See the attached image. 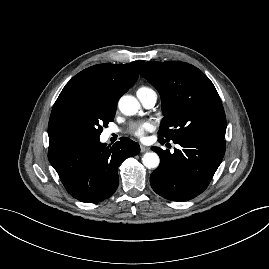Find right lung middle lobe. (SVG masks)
Returning <instances> with one entry per match:
<instances>
[{
    "label": "right lung middle lobe",
    "mask_w": 269,
    "mask_h": 269,
    "mask_svg": "<svg viewBox=\"0 0 269 269\" xmlns=\"http://www.w3.org/2000/svg\"><path fill=\"white\" fill-rule=\"evenodd\" d=\"M115 108L103 105L74 104L69 119L78 141L99 139L103 127L113 121Z\"/></svg>",
    "instance_id": "obj_1"
}]
</instances>
